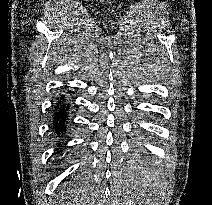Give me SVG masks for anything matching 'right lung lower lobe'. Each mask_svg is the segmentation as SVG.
Wrapping results in <instances>:
<instances>
[{
    "instance_id": "right-lung-lower-lobe-1",
    "label": "right lung lower lobe",
    "mask_w": 212,
    "mask_h": 205,
    "mask_svg": "<svg viewBox=\"0 0 212 205\" xmlns=\"http://www.w3.org/2000/svg\"><path fill=\"white\" fill-rule=\"evenodd\" d=\"M57 103L54 106V116L52 120V130L58 137H62L68 128V114L70 105L64 95L57 98Z\"/></svg>"
}]
</instances>
